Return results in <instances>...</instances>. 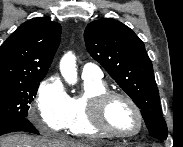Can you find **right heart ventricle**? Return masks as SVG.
<instances>
[{
  "label": "right heart ventricle",
  "instance_id": "1",
  "mask_svg": "<svg viewBox=\"0 0 183 147\" xmlns=\"http://www.w3.org/2000/svg\"><path fill=\"white\" fill-rule=\"evenodd\" d=\"M105 91H107V86L102 80L84 79L83 92L69 97L68 118L65 129L71 135L84 138L105 135L91 124L89 118L90 99Z\"/></svg>",
  "mask_w": 183,
  "mask_h": 147
}]
</instances>
